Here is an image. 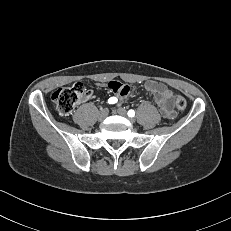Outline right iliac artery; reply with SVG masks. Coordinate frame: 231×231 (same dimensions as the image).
I'll return each mask as SVG.
<instances>
[{
  "mask_svg": "<svg viewBox=\"0 0 231 231\" xmlns=\"http://www.w3.org/2000/svg\"><path fill=\"white\" fill-rule=\"evenodd\" d=\"M117 102V98L116 97H111L109 100H108V103L109 104H115Z\"/></svg>",
  "mask_w": 231,
  "mask_h": 231,
  "instance_id": "1",
  "label": "right iliac artery"
}]
</instances>
